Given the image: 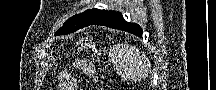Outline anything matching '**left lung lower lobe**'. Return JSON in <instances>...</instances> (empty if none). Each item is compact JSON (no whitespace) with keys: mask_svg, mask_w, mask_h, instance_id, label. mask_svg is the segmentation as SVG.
Listing matches in <instances>:
<instances>
[{"mask_svg":"<svg viewBox=\"0 0 216 90\" xmlns=\"http://www.w3.org/2000/svg\"><path fill=\"white\" fill-rule=\"evenodd\" d=\"M95 25H104L129 33L142 36V29L138 24L126 22L120 12H112L105 18L94 23Z\"/></svg>","mask_w":216,"mask_h":90,"instance_id":"0a47b994","label":"left lung lower lobe"}]
</instances>
